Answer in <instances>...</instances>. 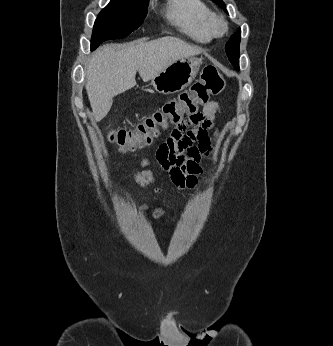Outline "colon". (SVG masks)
Returning a JSON list of instances; mask_svg holds the SVG:
<instances>
[{
  "label": "colon",
  "instance_id": "colon-1",
  "mask_svg": "<svg viewBox=\"0 0 333 346\" xmlns=\"http://www.w3.org/2000/svg\"><path fill=\"white\" fill-rule=\"evenodd\" d=\"M223 87L224 81L217 68L208 65L204 68L201 78L191 86L189 91L166 102L135 128L113 130L110 133V140L124 152L147 146L168 125L191 117L199 119L201 117L199 107L206 105L212 96L222 91Z\"/></svg>",
  "mask_w": 333,
  "mask_h": 346
}]
</instances>
